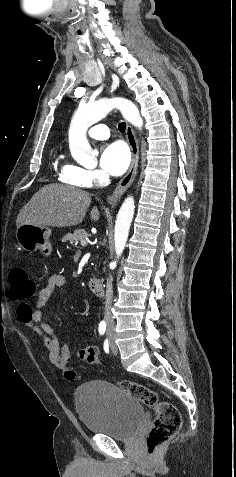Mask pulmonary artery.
Masks as SVG:
<instances>
[{"label": "pulmonary artery", "mask_w": 236, "mask_h": 477, "mask_svg": "<svg viewBox=\"0 0 236 477\" xmlns=\"http://www.w3.org/2000/svg\"><path fill=\"white\" fill-rule=\"evenodd\" d=\"M88 136L97 140H106L110 136V131L108 126L104 124H97L89 128Z\"/></svg>", "instance_id": "pulmonary-artery-1"}]
</instances>
